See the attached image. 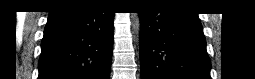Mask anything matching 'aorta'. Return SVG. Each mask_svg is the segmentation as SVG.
Wrapping results in <instances>:
<instances>
[{"instance_id": "aorta-1", "label": "aorta", "mask_w": 255, "mask_h": 79, "mask_svg": "<svg viewBox=\"0 0 255 79\" xmlns=\"http://www.w3.org/2000/svg\"><path fill=\"white\" fill-rule=\"evenodd\" d=\"M132 18H133V29L136 32V34H139L140 32V18L138 13H132Z\"/></svg>"}]
</instances>
